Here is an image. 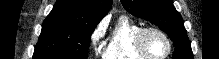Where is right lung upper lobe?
<instances>
[{
    "instance_id": "cb5924a9",
    "label": "right lung upper lobe",
    "mask_w": 219,
    "mask_h": 59,
    "mask_svg": "<svg viewBox=\"0 0 219 59\" xmlns=\"http://www.w3.org/2000/svg\"><path fill=\"white\" fill-rule=\"evenodd\" d=\"M111 6L112 0H57L46 20L83 21L97 25Z\"/></svg>"
}]
</instances>
